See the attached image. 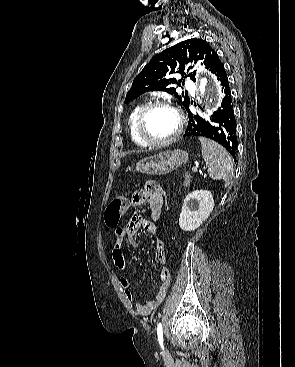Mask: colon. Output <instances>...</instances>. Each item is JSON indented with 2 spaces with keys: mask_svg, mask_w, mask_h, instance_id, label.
<instances>
[{
  "mask_svg": "<svg viewBox=\"0 0 295 367\" xmlns=\"http://www.w3.org/2000/svg\"><path fill=\"white\" fill-rule=\"evenodd\" d=\"M190 182L189 176L185 179V185H188ZM171 201L170 195H165L162 200L163 211L169 212L170 206L169 203ZM129 207V200L126 195L119 194L117 195L108 205L105 211V222L108 227H116L121 219V217L127 212Z\"/></svg>",
  "mask_w": 295,
  "mask_h": 367,
  "instance_id": "1",
  "label": "colon"
}]
</instances>
